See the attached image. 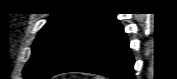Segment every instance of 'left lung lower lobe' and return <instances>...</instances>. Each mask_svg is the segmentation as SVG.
Segmentation results:
<instances>
[{"label": "left lung lower lobe", "mask_w": 177, "mask_h": 79, "mask_svg": "<svg viewBox=\"0 0 177 79\" xmlns=\"http://www.w3.org/2000/svg\"><path fill=\"white\" fill-rule=\"evenodd\" d=\"M133 64L123 27L115 14H109L72 48L52 76L79 71L111 79H134Z\"/></svg>", "instance_id": "0a47b994"}]
</instances>
